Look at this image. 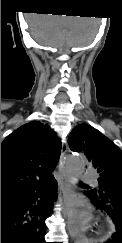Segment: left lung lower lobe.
<instances>
[{"label": "left lung lower lobe", "instance_id": "0a47b994", "mask_svg": "<svg viewBox=\"0 0 122 243\" xmlns=\"http://www.w3.org/2000/svg\"><path fill=\"white\" fill-rule=\"evenodd\" d=\"M104 189L111 197H99L94 195L91 191H87L86 195L91 202L101 210H104L113 220L116 225V232L112 239L106 243H122V220L118 221L112 217L113 208H116V202L122 201V178H113L103 183Z\"/></svg>", "mask_w": 122, "mask_h": 243}]
</instances>
